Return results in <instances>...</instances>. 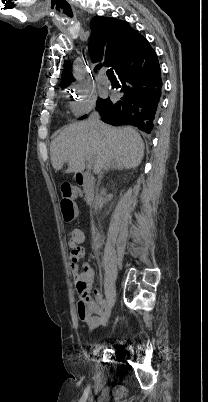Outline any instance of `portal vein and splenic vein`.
Instances as JSON below:
<instances>
[{
  "mask_svg": "<svg viewBox=\"0 0 208 402\" xmlns=\"http://www.w3.org/2000/svg\"><path fill=\"white\" fill-rule=\"evenodd\" d=\"M88 160H90V158H88ZM90 164H92V162H89V166H90Z\"/></svg>",
  "mask_w": 208,
  "mask_h": 402,
  "instance_id": "obj_1",
  "label": "portal vein and splenic vein"
}]
</instances>
